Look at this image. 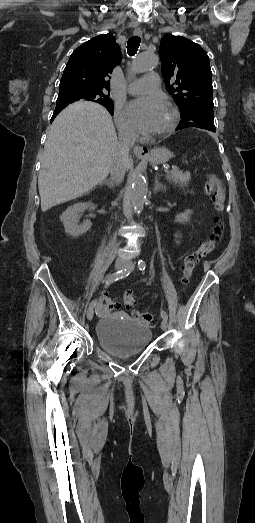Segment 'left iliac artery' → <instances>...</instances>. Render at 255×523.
I'll list each match as a JSON object with an SVG mask.
<instances>
[{"label":"left iliac artery","mask_w":255,"mask_h":523,"mask_svg":"<svg viewBox=\"0 0 255 523\" xmlns=\"http://www.w3.org/2000/svg\"><path fill=\"white\" fill-rule=\"evenodd\" d=\"M138 268H139V270H141V271L145 270V268H146V263H145V261H143V260H139V261H138ZM161 317H162L163 319H165V320H168V315H167V313H166L164 310L161 311Z\"/></svg>","instance_id":"left-iliac-artery-1"}]
</instances>
